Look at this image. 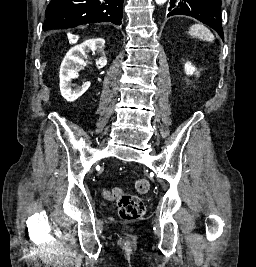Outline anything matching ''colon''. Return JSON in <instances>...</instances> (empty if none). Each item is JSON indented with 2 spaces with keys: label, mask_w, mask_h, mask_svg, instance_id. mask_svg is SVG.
Returning a JSON list of instances; mask_svg holds the SVG:
<instances>
[{
  "label": "colon",
  "mask_w": 256,
  "mask_h": 267,
  "mask_svg": "<svg viewBox=\"0 0 256 267\" xmlns=\"http://www.w3.org/2000/svg\"><path fill=\"white\" fill-rule=\"evenodd\" d=\"M135 188L139 192H147L150 190V183L146 179H138L135 183ZM122 188H112L110 195H121ZM128 197H120L121 199L116 202L119 217L125 221H132L140 218L146 209L144 202L134 194L126 195ZM118 197V196H112ZM114 199V198H113Z\"/></svg>",
  "instance_id": "colon-1"
}]
</instances>
